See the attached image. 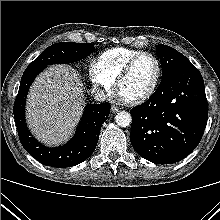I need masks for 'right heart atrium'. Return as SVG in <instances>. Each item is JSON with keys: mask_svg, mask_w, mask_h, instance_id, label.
Returning <instances> with one entry per match:
<instances>
[{"mask_svg": "<svg viewBox=\"0 0 220 220\" xmlns=\"http://www.w3.org/2000/svg\"><path fill=\"white\" fill-rule=\"evenodd\" d=\"M89 76L94 87H96L100 92L106 94L111 91L113 82L104 75L97 61L90 64Z\"/></svg>", "mask_w": 220, "mask_h": 220, "instance_id": "right-heart-atrium-1", "label": "right heart atrium"}]
</instances>
